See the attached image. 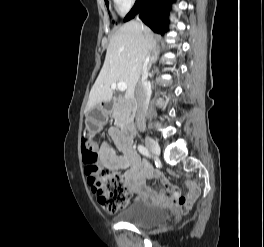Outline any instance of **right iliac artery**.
Returning a JSON list of instances; mask_svg holds the SVG:
<instances>
[{
    "mask_svg": "<svg viewBox=\"0 0 264 247\" xmlns=\"http://www.w3.org/2000/svg\"><path fill=\"white\" fill-rule=\"evenodd\" d=\"M138 151L144 156L151 157L148 149L144 147L143 145H138Z\"/></svg>",
    "mask_w": 264,
    "mask_h": 247,
    "instance_id": "right-iliac-artery-1",
    "label": "right iliac artery"
}]
</instances>
